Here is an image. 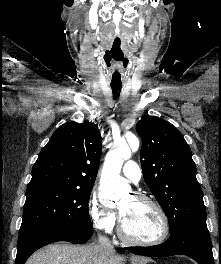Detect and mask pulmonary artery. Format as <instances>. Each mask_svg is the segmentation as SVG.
<instances>
[{"mask_svg":"<svg viewBox=\"0 0 221 264\" xmlns=\"http://www.w3.org/2000/svg\"><path fill=\"white\" fill-rule=\"evenodd\" d=\"M123 175L134 183H138L142 177L140 166L135 161H127L122 169Z\"/></svg>","mask_w":221,"mask_h":264,"instance_id":"e3ab8cb5","label":"pulmonary artery"}]
</instances>
